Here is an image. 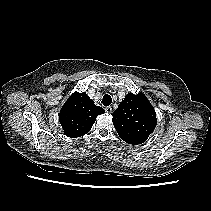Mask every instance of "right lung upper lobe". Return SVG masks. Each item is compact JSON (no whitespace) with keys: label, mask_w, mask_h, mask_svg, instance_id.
<instances>
[{"label":"right lung upper lobe","mask_w":211,"mask_h":211,"mask_svg":"<svg viewBox=\"0 0 211 211\" xmlns=\"http://www.w3.org/2000/svg\"><path fill=\"white\" fill-rule=\"evenodd\" d=\"M103 113L104 109L96 106L85 92H75L62 106L59 121L66 136L77 138L90 131L96 117Z\"/></svg>","instance_id":"1"}]
</instances>
